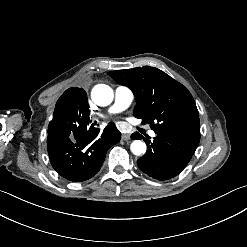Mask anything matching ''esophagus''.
Returning a JSON list of instances; mask_svg holds the SVG:
<instances>
[{
	"instance_id": "obj_1",
	"label": "esophagus",
	"mask_w": 247,
	"mask_h": 247,
	"mask_svg": "<svg viewBox=\"0 0 247 247\" xmlns=\"http://www.w3.org/2000/svg\"><path fill=\"white\" fill-rule=\"evenodd\" d=\"M122 139H123L124 141L129 140V139H130V134H128V133L122 134Z\"/></svg>"
}]
</instances>
